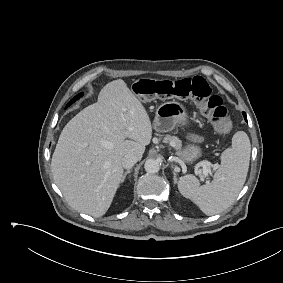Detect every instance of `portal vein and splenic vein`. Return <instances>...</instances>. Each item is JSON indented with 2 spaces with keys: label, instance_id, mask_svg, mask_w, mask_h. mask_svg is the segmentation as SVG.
Wrapping results in <instances>:
<instances>
[{
  "label": "portal vein and splenic vein",
  "instance_id": "18ae733b",
  "mask_svg": "<svg viewBox=\"0 0 283 283\" xmlns=\"http://www.w3.org/2000/svg\"><path fill=\"white\" fill-rule=\"evenodd\" d=\"M202 165L203 166V170H202V174L204 177H207L208 174H209V168L207 166H211V163L210 162H201L198 167Z\"/></svg>",
  "mask_w": 283,
  "mask_h": 283
}]
</instances>
